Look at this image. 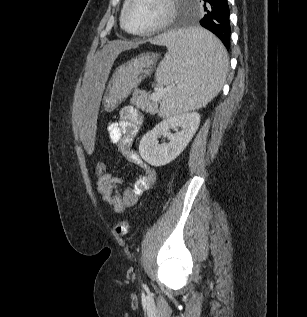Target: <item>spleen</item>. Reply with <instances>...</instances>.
<instances>
[{
  "label": "spleen",
  "instance_id": "obj_1",
  "mask_svg": "<svg viewBox=\"0 0 307 317\" xmlns=\"http://www.w3.org/2000/svg\"><path fill=\"white\" fill-rule=\"evenodd\" d=\"M166 45L168 53L155 77L172 85L160 115L169 117L199 109L221 90L228 72V56L220 40L204 26H177L171 33H153L148 47Z\"/></svg>",
  "mask_w": 307,
  "mask_h": 317
}]
</instances>
